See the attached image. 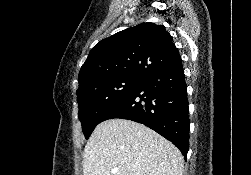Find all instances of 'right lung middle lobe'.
<instances>
[{
  "label": "right lung middle lobe",
  "mask_w": 251,
  "mask_h": 175,
  "mask_svg": "<svg viewBox=\"0 0 251 175\" xmlns=\"http://www.w3.org/2000/svg\"><path fill=\"white\" fill-rule=\"evenodd\" d=\"M140 78L122 76L111 81L78 88L79 119L86 139L89 138L102 115L125 97Z\"/></svg>",
  "instance_id": "obj_1"
}]
</instances>
